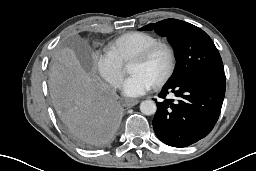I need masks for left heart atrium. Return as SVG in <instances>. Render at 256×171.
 <instances>
[{
  "instance_id": "obj_1",
  "label": "left heart atrium",
  "mask_w": 256,
  "mask_h": 171,
  "mask_svg": "<svg viewBox=\"0 0 256 171\" xmlns=\"http://www.w3.org/2000/svg\"><path fill=\"white\" fill-rule=\"evenodd\" d=\"M154 83L141 73H135L121 84V91L128 97H139L149 92Z\"/></svg>"
}]
</instances>
